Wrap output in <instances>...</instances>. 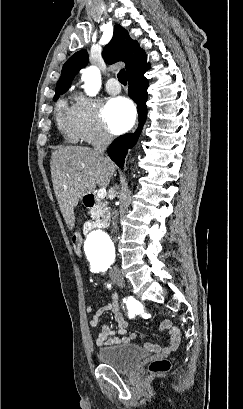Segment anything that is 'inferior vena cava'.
<instances>
[{"label":"inferior vena cava","instance_id":"602c4592","mask_svg":"<svg viewBox=\"0 0 243 409\" xmlns=\"http://www.w3.org/2000/svg\"><path fill=\"white\" fill-rule=\"evenodd\" d=\"M112 141V137L110 134L106 133V132H100L99 135L95 138V140L93 141L92 145L94 147V150L99 153V154H103L104 151L107 149L108 145L111 143ZM113 192L115 193V190L112 189ZM117 216L118 213L117 211L114 209L112 211V227H113V232L116 231L117 229Z\"/></svg>","mask_w":243,"mask_h":409}]
</instances>
